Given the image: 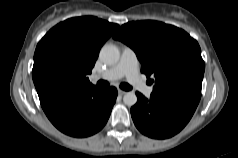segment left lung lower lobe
Instances as JSON below:
<instances>
[{
  "label": "left lung lower lobe",
  "mask_w": 238,
  "mask_h": 158,
  "mask_svg": "<svg viewBox=\"0 0 238 158\" xmlns=\"http://www.w3.org/2000/svg\"><path fill=\"white\" fill-rule=\"evenodd\" d=\"M131 116L137 129L151 138L177 134L191 119L201 97V87L189 86L145 98L139 92Z\"/></svg>",
  "instance_id": "obj_1"
}]
</instances>
